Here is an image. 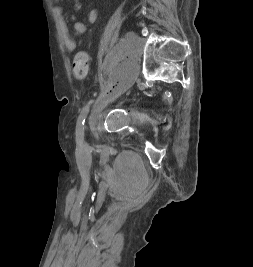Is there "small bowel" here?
<instances>
[{
	"label": "small bowel",
	"instance_id": "obj_1",
	"mask_svg": "<svg viewBox=\"0 0 253 267\" xmlns=\"http://www.w3.org/2000/svg\"><path fill=\"white\" fill-rule=\"evenodd\" d=\"M59 1V0H56ZM54 12L57 16L58 19V25H59V30L62 38V42L64 47L66 48L67 51L73 52L76 49V41L74 38L71 36L69 28L67 26V23L63 17V12L62 8L57 6L54 8ZM88 22L90 24H93L97 20V12L96 10L92 9L88 12L87 15ZM73 30L77 35H84L87 32V25L83 22L80 21H75L73 23Z\"/></svg>",
	"mask_w": 253,
	"mask_h": 267
}]
</instances>
